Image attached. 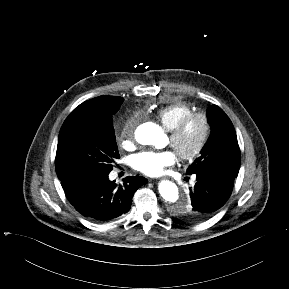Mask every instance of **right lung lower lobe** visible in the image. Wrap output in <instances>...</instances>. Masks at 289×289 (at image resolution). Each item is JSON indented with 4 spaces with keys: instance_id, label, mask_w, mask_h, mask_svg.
<instances>
[{
    "instance_id": "98d812e1",
    "label": "right lung lower lobe",
    "mask_w": 289,
    "mask_h": 289,
    "mask_svg": "<svg viewBox=\"0 0 289 289\" xmlns=\"http://www.w3.org/2000/svg\"><path fill=\"white\" fill-rule=\"evenodd\" d=\"M147 183L141 176L126 177L123 186L108 179V174L62 181L66 197L84 217L105 222L115 219L131 208L136 190Z\"/></svg>"
}]
</instances>
